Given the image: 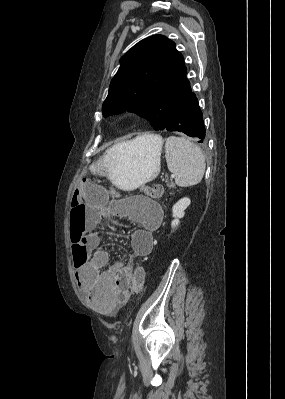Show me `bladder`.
<instances>
[{"label":"bladder","mask_w":285,"mask_h":399,"mask_svg":"<svg viewBox=\"0 0 285 399\" xmlns=\"http://www.w3.org/2000/svg\"><path fill=\"white\" fill-rule=\"evenodd\" d=\"M131 199L132 200H138V201L142 202L143 204H145L146 206H148L150 208L155 206L154 201H152L149 198L140 197V196L138 198H134V196H133Z\"/></svg>","instance_id":"obj_1"}]
</instances>
